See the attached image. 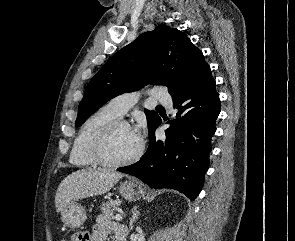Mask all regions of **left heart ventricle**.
<instances>
[{
	"label": "left heart ventricle",
	"mask_w": 295,
	"mask_h": 241,
	"mask_svg": "<svg viewBox=\"0 0 295 241\" xmlns=\"http://www.w3.org/2000/svg\"><path fill=\"white\" fill-rule=\"evenodd\" d=\"M139 147V139L135 137L131 128L118 127L108 144L107 155L110 159L120 161L133 156Z\"/></svg>",
	"instance_id": "left-heart-ventricle-1"
}]
</instances>
